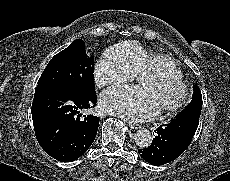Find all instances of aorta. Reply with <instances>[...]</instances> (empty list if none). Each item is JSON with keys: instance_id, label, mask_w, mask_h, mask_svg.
Segmentation results:
<instances>
[{"instance_id": "762f6f07", "label": "aorta", "mask_w": 230, "mask_h": 181, "mask_svg": "<svg viewBox=\"0 0 230 181\" xmlns=\"http://www.w3.org/2000/svg\"><path fill=\"white\" fill-rule=\"evenodd\" d=\"M135 142L140 148H147L151 145L153 140V135L151 132L145 128L139 129L135 133Z\"/></svg>"}]
</instances>
